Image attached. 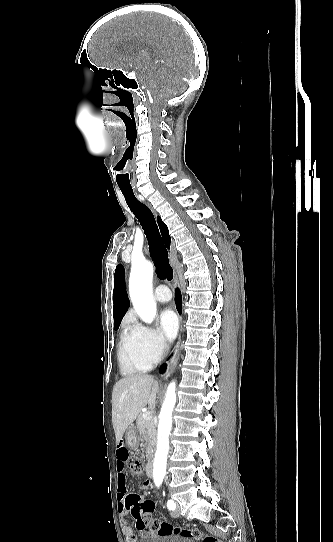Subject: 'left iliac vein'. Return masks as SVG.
<instances>
[{
	"label": "left iliac vein",
	"mask_w": 333,
	"mask_h": 542,
	"mask_svg": "<svg viewBox=\"0 0 333 542\" xmlns=\"http://www.w3.org/2000/svg\"><path fill=\"white\" fill-rule=\"evenodd\" d=\"M179 506V504L177 503V507ZM173 517H177L179 516V512L178 510H175L173 513H172Z\"/></svg>",
	"instance_id": "obj_1"
}]
</instances>
